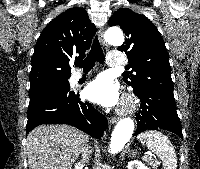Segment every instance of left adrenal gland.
Masks as SVG:
<instances>
[{
    "instance_id": "1",
    "label": "left adrenal gland",
    "mask_w": 200,
    "mask_h": 169,
    "mask_svg": "<svg viewBox=\"0 0 200 169\" xmlns=\"http://www.w3.org/2000/svg\"><path fill=\"white\" fill-rule=\"evenodd\" d=\"M136 154H137V152H136L135 150H130V151L128 152V156L136 155Z\"/></svg>"
}]
</instances>
